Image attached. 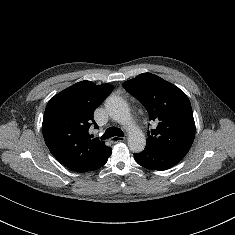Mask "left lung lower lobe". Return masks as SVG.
Returning a JSON list of instances; mask_svg holds the SVG:
<instances>
[{"label":"left lung lower lobe","instance_id":"0a47b994","mask_svg":"<svg viewBox=\"0 0 235 235\" xmlns=\"http://www.w3.org/2000/svg\"><path fill=\"white\" fill-rule=\"evenodd\" d=\"M186 154L146 145L141 153L134 154L136 162L151 170H166L180 162Z\"/></svg>","mask_w":235,"mask_h":235}]
</instances>
